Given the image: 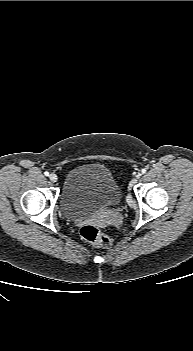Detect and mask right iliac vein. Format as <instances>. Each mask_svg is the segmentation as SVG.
<instances>
[{"instance_id":"1","label":"right iliac vein","mask_w":193,"mask_h":351,"mask_svg":"<svg viewBox=\"0 0 193 351\" xmlns=\"http://www.w3.org/2000/svg\"><path fill=\"white\" fill-rule=\"evenodd\" d=\"M49 179L52 182H57L58 181V177H57V175L55 173L50 174Z\"/></svg>"}]
</instances>
